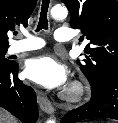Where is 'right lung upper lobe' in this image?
<instances>
[{
	"label": "right lung upper lobe",
	"instance_id": "right-lung-upper-lobe-1",
	"mask_svg": "<svg viewBox=\"0 0 118 123\" xmlns=\"http://www.w3.org/2000/svg\"><path fill=\"white\" fill-rule=\"evenodd\" d=\"M37 0H0V50L9 47L7 32L15 26H28Z\"/></svg>",
	"mask_w": 118,
	"mask_h": 123
}]
</instances>
